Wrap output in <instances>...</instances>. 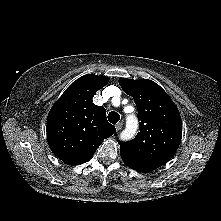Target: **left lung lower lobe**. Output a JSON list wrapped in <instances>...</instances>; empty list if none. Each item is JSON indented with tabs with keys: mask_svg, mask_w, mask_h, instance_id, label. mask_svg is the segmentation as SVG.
I'll list each match as a JSON object with an SVG mask.
<instances>
[{
	"mask_svg": "<svg viewBox=\"0 0 221 221\" xmlns=\"http://www.w3.org/2000/svg\"><path fill=\"white\" fill-rule=\"evenodd\" d=\"M127 165V164H126ZM130 167V166H129ZM132 169H134V170H136V171H139V172H143V171H140V170H138V169H136V168H133V167H131Z\"/></svg>",
	"mask_w": 221,
	"mask_h": 221,
	"instance_id": "obj_1",
	"label": "left lung lower lobe"
}]
</instances>
